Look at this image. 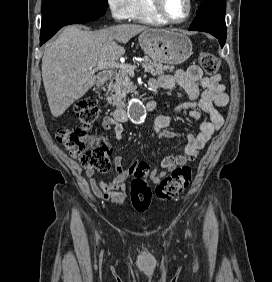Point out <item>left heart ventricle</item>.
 Returning <instances> with one entry per match:
<instances>
[{
    "mask_svg": "<svg viewBox=\"0 0 272 282\" xmlns=\"http://www.w3.org/2000/svg\"><path fill=\"white\" fill-rule=\"evenodd\" d=\"M162 4L167 14L174 19H181L187 13L186 0H162Z\"/></svg>",
    "mask_w": 272,
    "mask_h": 282,
    "instance_id": "obj_1",
    "label": "left heart ventricle"
}]
</instances>
